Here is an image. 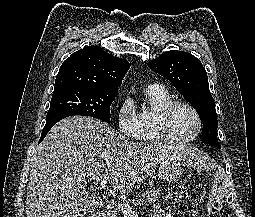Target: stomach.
Returning <instances> with one entry per match:
<instances>
[{
    "instance_id": "0dacf381",
    "label": "stomach",
    "mask_w": 255,
    "mask_h": 217,
    "mask_svg": "<svg viewBox=\"0 0 255 217\" xmlns=\"http://www.w3.org/2000/svg\"><path fill=\"white\" fill-rule=\"evenodd\" d=\"M188 157L180 152L173 151L164 158L158 167V176L162 180L172 181L182 174V166L187 163Z\"/></svg>"
}]
</instances>
